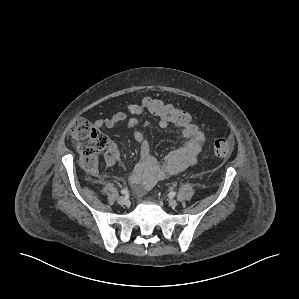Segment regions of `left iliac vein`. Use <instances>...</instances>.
I'll use <instances>...</instances> for the list:
<instances>
[{
    "mask_svg": "<svg viewBox=\"0 0 299 299\" xmlns=\"http://www.w3.org/2000/svg\"><path fill=\"white\" fill-rule=\"evenodd\" d=\"M169 205H170L171 207H176V206H177V201H176L175 199H170V200H169Z\"/></svg>",
    "mask_w": 299,
    "mask_h": 299,
    "instance_id": "left-iliac-vein-1",
    "label": "left iliac vein"
}]
</instances>
